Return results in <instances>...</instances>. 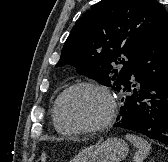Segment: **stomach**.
<instances>
[{"label": "stomach", "instance_id": "obj_1", "mask_svg": "<svg viewBox=\"0 0 168 162\" xmlns=\"http://www.w3.org/2000/svg\"><path fill=\"white\" fill-rule=\"evenodd\" d=\"M128 153L127 143L111 137L100 145L86 149L70 162H121Z\"/></svg>", "mask_w": 168, "mask_h": 162}]
</instances>
